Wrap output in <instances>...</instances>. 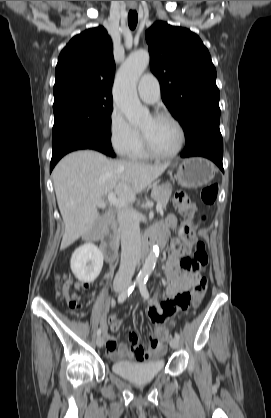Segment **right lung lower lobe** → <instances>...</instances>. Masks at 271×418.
<instances>
[{"label": "right lung lower lobe", "instance_id": "right-lung-lower-lobe-1", "mask_svg": "<svg viewBox=\"0 0 271 418\" xmlns=\"http://www.w3.org/2000/svg\"><path fill=\"white\" fill-rule=\"evenodd\" d=\"M79 149H94L108 156H115L110 142V133L104 130L93 129L69 134L52 141L50 172L64 155Z\"/></svg>", "mask_w": 271, "mask_h": 418}]
</instances>
